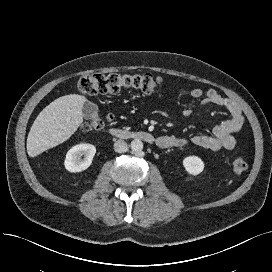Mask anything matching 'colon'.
I'll return each instance as SVG.
<instances>
[{"label":"colon","mask_w":272,"mask_h":272,"mask_svg":"<svg viewBox=\"0 0 272 272\" xmlns=\"http://www.w3.org/2000/svg\"><path fill=\"white\" fill-rule=\"evenodd\" d=\"M161 79L152 74H122V73H100L86 75L79 79L77 90L85 95L116 94L124 89H135L145 94H153L158 91ZM110 115L94 114L84 123V130H100L105 122L110 120ZM234 172L242 173L247 168V162L241 156H236L231 161Z\"/></svg>","instance_id":"obj_1"}]
</instances>
